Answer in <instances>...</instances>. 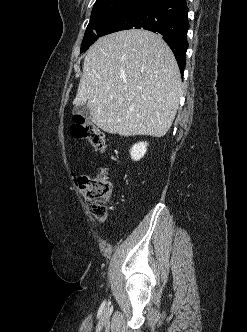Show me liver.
<instances>
[{
	"instance_id": "6515ba94",
	"label": "liver",
	"mask_w": 247,
	"mask_h": 332,
	"mask_svg": "<svg viewBox=\"0 0 247 332\" xmlns=\"http://www.w3.org/2000/svg\"><path fill=\"white\" fill-rule=\"evenodd\" d=\"M181 96L169 46L155 33L131 29L103 36L90 47L73 103H87L92 122L107 133L162 137Z\"/></svg>"
}]
</instances>
